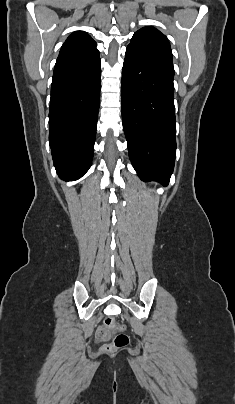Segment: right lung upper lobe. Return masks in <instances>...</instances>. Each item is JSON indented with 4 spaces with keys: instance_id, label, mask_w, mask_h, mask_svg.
Returning a JSON list of instances; mask_svg holds the SVG:
<instances>
[{
    "instance_id": "cb5924a9",
    "label": "right lung upper lobe",
    "mask_w": 235,
    "mask_h": 404,
    "mask_svg": "<svg viewBox=\"0 0 235 404\" xmlns=\"http://www.w3.org/2000/svg\"><path fill=\"white\" fill-rule=\"evenodd\" d=\"M97 57L95 41L86 32L76 31L62 45L56 65L86 62Z\"/></svg>"
}]
</instances>
